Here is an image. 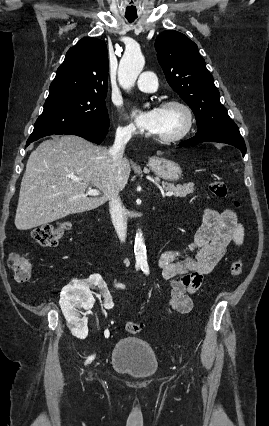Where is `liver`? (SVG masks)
I'll use <instances>...</instances> for the list:
<instances>
[{"label": "liver", "mask_w": 269, "mask_h": 426, "mask_svg": "<svg viewBox=\"0 0 269 426\" xmlns=\"http://www.w3.org/2000/svg\"><path fill=\"white\" fill-rule=\"evenodd\" d=\"M111 150L75 135L43 141L29 156L21 181L15 226L28 230L103 205L125 187L131 167L126 158L113 169ZM79 178L80 180H74ZM88 186L99 197L85 194Z\"/></svg>", "instance_id": "1"}]
</instances>
